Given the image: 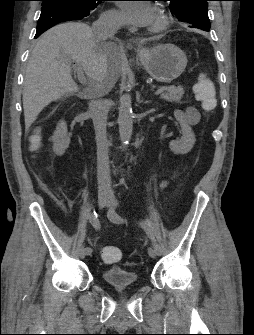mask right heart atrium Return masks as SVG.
Returning <instances> with one entry per match:
<instances>
[{
    "instance_id": "obj_1",
    "label": "right heart atrium",
    "mask_w": 254,
    "mask_h": 335,
    "mask_svg": "<svg viewBox=\"0 0 254 335\" xmlns=\"http://www.w3.org/2000/svg\"><path fill=\"white\" fill-rule=\"evenodd\" d=\"M100 21L103 23H121L122 15L119 11L115 9H110L102 14V16L100 17Z\"/></svg>"
}]
</instances>
